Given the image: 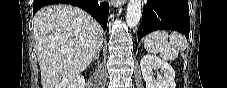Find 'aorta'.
<instances>
[{"mask_svg":"<svg viewBox=\"0 0 227 88\" xmlns=\"http://www.w3.org/2000/svg\"><path fill=\"white\" fill-rule=\"evenodd\" d=\"M141 1L129 0L126 13V23L130 28H134L138 25L141 19Z\"/></svg>","mask_w":227,"mask_h":88,"instance_id":"aorta-1","label":"aorta"}]
</instances>
